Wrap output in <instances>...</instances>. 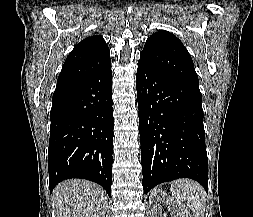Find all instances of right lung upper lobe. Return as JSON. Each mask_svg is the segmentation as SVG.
I'll list each match as a JSON object with an SVG mask.
<instances>
[{
	"label": "right lung upper lobe",
	"mask_w": 253,
	"mask_h": 217,
	"mask_svg": "<svg viewBox=\"0 0 253 217\" xmlns=\"http://www.w3.org/2000/svg\"><path fill=\"white\" fill-rule=\"evenodd\" d=\"M111 64L110 51L101 36H89L78 43L68 55L57 86L80 81Z\"/></svg>",
	"instance_id": "obj_1"
}]
</instances>
